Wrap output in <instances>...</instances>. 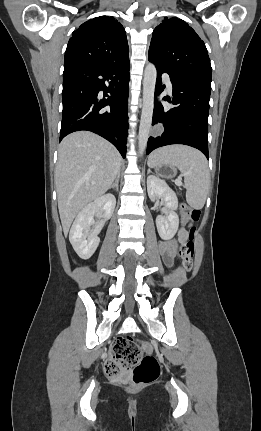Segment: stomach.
Here are the masks:
<instances>
[{
  "label": "stomach",
  "instance_id": "1",
  "mask_svg": "<svg viewBox=\"0 0 261 431\" xmlns=\"http://www.w3.org/2000/svg\"><path fill=\"white\" fill-rule=\"evenodd\" d=\"M154 168L157 174L164 178H172L176 174V167L171 164L162 163L156 165Z\"/></svg>",
  "mask_w": 261,
  "mask_h": 431
}]
</instances>
